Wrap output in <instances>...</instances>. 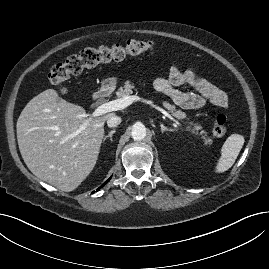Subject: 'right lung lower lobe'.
<instances>
[{"label": "right lung lower lobe", "instance_id": "98d812e1", "mask_svg": "<svg viewBox=\"0 0 269 269\" xmlns=\"http://www.w3.org/2000/svg\"><path fill=\"white\" fill-rule=\"evenodd\" d=\"M110 179H111V178H109L105 183H103L102 186H100V188L103 187V186H104ZM100 188H98V190H99Z\"/></svg>", "mask_w": 269, "mask_h": 269}]
</instances>
